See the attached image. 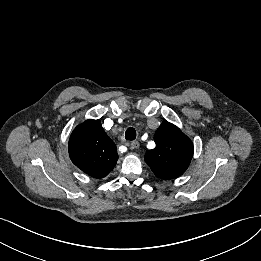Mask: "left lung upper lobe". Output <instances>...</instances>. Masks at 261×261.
I'll return each mask as SVG.
<instances>
[{
    "instance_id": "1",
    "label": "left lung upper lobe",
    "mask_w": 261,
    "mask_h": 261,
    "mask_svg": "<svg viewBox=\"0 0 261 261\" xmlns=\"http://www.w3.org/2000/svg\"><path fill=\"white\" fill-rule=\"evenodd\" d=\"M154 141L156 147L144 157L154 174L164 180L182 175L192 159V141L168 121H163L157 129Z\"/></svg>"
}]
</instances>
